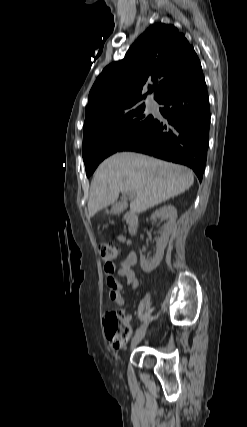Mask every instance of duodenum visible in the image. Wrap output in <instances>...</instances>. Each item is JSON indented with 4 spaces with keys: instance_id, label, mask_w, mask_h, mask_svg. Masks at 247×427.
Returning <instances> with one entry per match:
<instances>
[{
    "instance_id": "1",
    "label": "duodenum",
    "mask_w": 247,
    "mask_h": 427,
    "mask_svg": "<svg viewBox=\"0 0 247 427\" xmlns=\"http://www.w3.org/2000/svg\"><path fill=\"white\" fill-rule=\"evenodd\" d=\"M130 233H135L138 227V216L134 212H128L125 216Z\"/></svg>"
}]
</instances>
